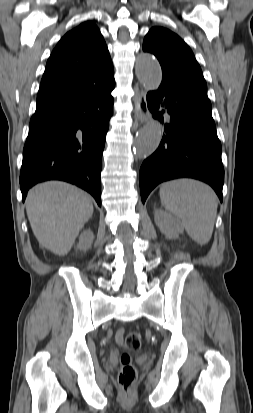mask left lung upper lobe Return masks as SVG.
Here are the masks:
<instances>
[{
    "label": "left lung upper lobe",
    "mask_w": 253,
    "mask_h": 413,
    "mask_svg": "<svg viewBox=\"0 0 253 413\" xmlns=\"http://www.w3.org/2000/svg\"><path fill=\"white\" fill-rule=\"evenodd\" d=\"M143 50L159 60L162 82L192 88L207 95L201 68L191 49L178 35L163 27H153L144 38Z\"/></svg>",
    "instance_id": "1"
}]
</instances>
